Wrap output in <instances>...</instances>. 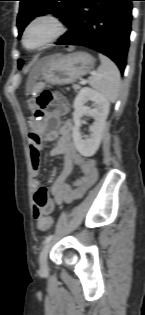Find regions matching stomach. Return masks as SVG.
<instances>
[{
  "instance_id": "stomach-1",
  "label": "stomach",
  "mask_w": 145,
  "mask_h": 315,
  "mask_svg": "<svg viewBox=\"0 0 145 315\" xmlns=\"http://www.w3.org/2000/svg\"><path fill=\"white\" fill-rule=\"evenodd\" d=\"M45 62L39 79L48 80L50 84H71L88 74L94 67V58L86 52L77 51L67 55H52L43 58ZM26 109H35V102H26Z\"/></svg>"
}]
</instances>
